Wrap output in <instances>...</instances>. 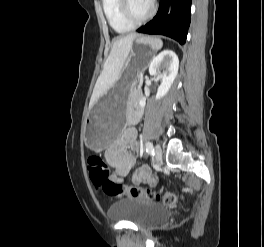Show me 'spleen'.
I'll return each instance as SVG.
<instances>
[{
  "instance_id": "3e777b00",
  "label": "spleen",
  "mask_w": 264,
  "mask_h": 247,
  "mask_svg": "<svg viewBox=\"0 0 264 247\" xmlns=\"http://www.w3.org/2000/svg\"><path fill=\"white\" fill-rule=\"evenodd\" d=\"M147 43H149V45L155 49V50H159L161 49L163 42L161 39L158 38H151V37H147L146 38Z\"/></svg>"
}]
</instances>
